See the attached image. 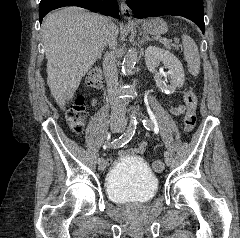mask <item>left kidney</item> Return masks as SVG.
Wrapping results in <instances>:
<instances>
[{
    "label": "left kidney",
    "mask_w": 240,
    "mask_h": 238,
    "mask_svg": "<svg viewBox=\"0 0 240 238\" xmlns=\"http://www.w3.org/2000/svg\"><path fill=\"white\" fill-rule=\"evenodd\" d=\"M162 61L164 66L169 69L170 84H166L162 76L157 73L158 62ZM145 62L148 70L154 73L156 86L164 93L169 94L182 87L184 84V70L179 59L167 50L156 46H149L145 50Z\"/></svg>",
    "instance_id": "5707ae66"
}]
</instances>
